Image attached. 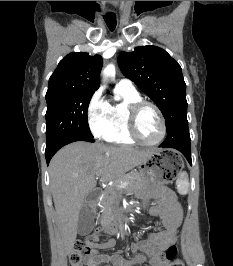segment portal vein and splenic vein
Segmentation results:
<instances>
[{"label": "portal vein and splenic vein", "mask_w": 233, "mask_h": 266, "mask_svg": "<svg viewBox=\"0 0 233 266\" xmlns=\"http://www.w3.org/2000/svg\"><path fill=\"white\" fill-rule=\"evenodd\" d=\"M97 176L99 177L100 175L97 174ZM127 185H128L127 182H121V183H120L119 185H117L116 187H117L118 189H122V188H125Z\"/></svg>", "instance_id": "18ae733b"}]
</instances>
